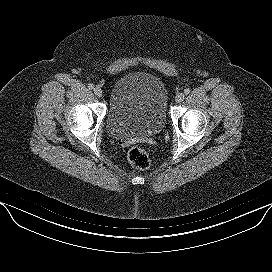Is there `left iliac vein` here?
<instances>
[{"label":"left iliac vein","instance_id":"1","mask_svg":"<svg viewBox=\"0 0 272 272\" xmlns=\"http://www.w3.org/2000/svg\"><path fill=\"white\" fill-rule=\"evenodd\" d=\"M185 99V95L183 93H178L176 96H175V101L177 103H181L183 100Z\"/></svg>","mask_w":272,"mask_h":272}]
</instances>
